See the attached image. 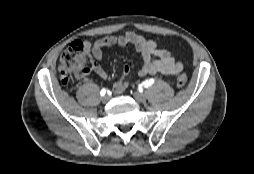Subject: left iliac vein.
Listing matches in <instances>:
<instances>
[{
	"label": "left iliac vein",
	"instance_id": "left-iliac-vein-1",
	"mask_svg": "<svg viewBox=\"0 0 254 174\" xmlns=\"http://www.w3.org/2000/svg\"><path fill=\"white\" fill-rule=\"evenodd\" d=\"M133 96H134L135 100L139 103H144L147 99L145 94L140 93V92L134 93Z\"/></svg>",
	"mask_w": 254,
	"mask_h": 174
}]
</instances>
